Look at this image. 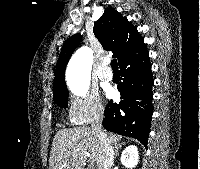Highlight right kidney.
Returning a JSON list of instances; mask_svg holds the SVG:
<instances>
[{
    "instance_id": "1",
    "label": "right kidney",
    "mask_w": 200,
    "mask_h": 169,
    "mask_svg": "<svg viewBox=\"0 0 200 169\" xmlns=\"http://www.w3.org/2000/svg\"><path fill=\"white\" fill-rule=\"evenodd\" d=\"M139 161L138 149L134 145H130L124 149L121 154V163L126 168H134Z\"/></svg>"
}]
</instances>
